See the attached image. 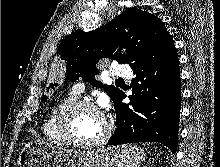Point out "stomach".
Segmentation results:
<instances>
[{"label": "stomach", "mask_w": 220, "mask_h": 167, "mask_svg": "<svg viewBox=\"0 0 220 167\" xmlns=\"http://www.w3.org/2000/svg\"><path fill=\"white\" fill-rule=\"evenodd\" d=\"M144 159V151L134 144L82 151L31 142L19 153L17 164L18 167H140Z\"/></svg>", "instance_id": "0dacf381"}]
</instances>
